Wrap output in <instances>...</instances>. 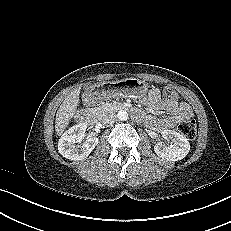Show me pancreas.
Masks as SVG:
<instances>
[{"label": "pancreas", "mask_w": 231, "mask_h": 231, "mask_svg": "<svg viewBox=\"0 0 231 231\" xmlns=\"http://www.w3.org/2000/svg\"><path fill=\"white\" fill-rule=\"evenodd\" d=\"M118 107L119 104L117 103H102V105H100L98 108L100 113H106V112L114 111Z\"/></svg>", "instance_id": "pancreas-1"}]
</instances>
